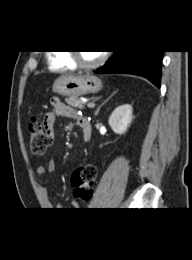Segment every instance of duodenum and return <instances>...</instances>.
<instances>
[{
  "label": "duodenum",
  "instance_id": "duodenum-1",
  "mask_svg": "<svg viewBox=\"0 0 192 260\" xmlns=\"http://www.w3.org/2000/svg\"><path fill=\"white\" fill-rule=\"evenodd\" d=\"M79 126L83 131L85 141H88L91 136V123L88 120L83 119L80 121Z\"/></svg>",
  "mask_w": 192,
  "mask_h": 260
}]
</instances>
